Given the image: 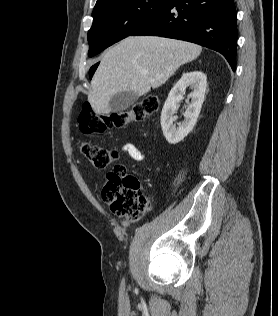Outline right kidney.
Segmentation results:
<instances>
[{
	"mask_svg": "<svg viewBox=\"0 0 278 316\" xmlns=\"http://www.w3.org/2000/svg\"><path fill=\"white\" fill-rule=\"evenodd\" d=\"M193 91L189 97L191 102L184 113L185 120L175 126L177 103L183 99L186 88ZM207 77L202 71H191L182 74L181 79L171 89L161 112V127L166 140L170 144L182 141L194 128L205 98Z\"/></svg>",
	"mask_w": 278,
	"mask_h": 316,
	"instance_id": "1",
	"label": "right kidney"
}]
</instances>
